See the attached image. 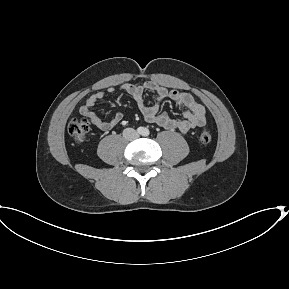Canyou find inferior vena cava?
Returning a JSON list of instances; mask_svg holds the SVG:
<instances>
[{"mask_svg":"<svg viewBox=\"0 0 289 289\" xmlns=\"http://www.w3.org/2000/svg\"><path fill=\"white\" fill-rule=\"evenodd\" d=\"M123 137L128 141H132L138 137V133L133 128H126L123 131Z\"/></svg>","mask_w":289,"mask_h":289,"instance_id":"602c4592","label":"inferior vena cava"}]
</instances>
